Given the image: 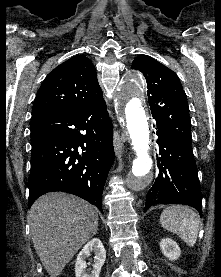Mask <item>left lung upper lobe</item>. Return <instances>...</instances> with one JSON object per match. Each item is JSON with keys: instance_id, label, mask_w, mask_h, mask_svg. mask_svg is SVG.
Listing matches in <instances>:
<instances>
[{"instance_id": "obj_1", "label": "left lung upper lobe", "mask_w": 221, "mask_h": 277, "mask_svg": "<svg viewBox=\"0 0 221 277\" xmlns=\"http://www.w3.org/2000/svg\"><path fill=\"white\" fill-rule=\"evenodd\" d=\"M147 82L148 102L153 118L177 139L191 145V122L186 94L178 76L155 59L139 55L132 62Z\"/></svg>"}]
</instances>
